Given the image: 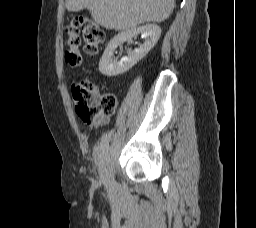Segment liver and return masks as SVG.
<instances>
[{
	"mask_svg": "<svg viewBox=\"0 0 256 228\" xmlns=\"http://www.w3.org/2000/svg\"><path fill=\"white\" fill-rule=\"evenodd\" d=\"M68 11L88 9L93 20L106 29L128 30L145 22H163L175 0H66Z\"/></svg>",
	"mask_w": 256,
	"mask_h": 228,
	"instance_id": "liver-1",
	"label": "liver"
}]
</instances>
